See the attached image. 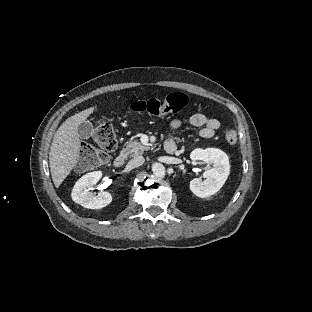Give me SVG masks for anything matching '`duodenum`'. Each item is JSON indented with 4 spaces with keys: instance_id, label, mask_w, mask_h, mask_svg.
I'll return each instance as SVG.
<instances>
[{
    "instance_id": "obj_1",
    "label": "duodenum",
    "mask_w": 312,
    "mask_h": 312,
    "mask_svg": "<svg viewBox=\"0 0 312 312\" xmlns=\"http://www.w3.org/2000/svg\"><path fill=\"white\" fill-rule=\"evenodd\" d=\"M164 150L169 154H174L177 152V147L174 143L165 142L164 143ZM127 159V152H121L116 158L114 159V166L117 168H122L125 165Z\"/></svg>"
}]
</instances>
